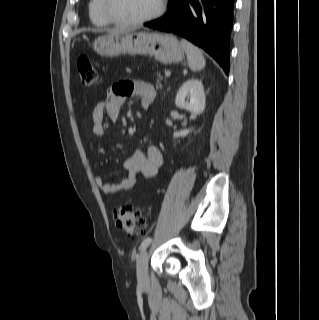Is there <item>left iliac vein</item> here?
I'll list each match as a JSON object with an SVG mask.
<instances>
[{"instance_id":"obj_1","label":"left iliac vein","mask_w":319,"mask_h":320,"mask_svg":"<svg viewBox=\"0 0 319 320\" xmlns=\"http://www.w3.org/2000/svg\"><path fill=\"white\" fill-rule=\"evenodd\" d=\"M137 281L141 286L147 285L149 281L148 254L145 250L140 254L137 262Z\"/></svg>"}]
</instances>
